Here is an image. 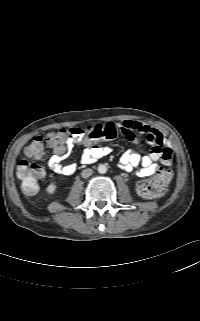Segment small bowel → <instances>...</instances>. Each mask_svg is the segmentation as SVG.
Masks as SVG:
<instances>
[{
	"instance_id": "obj_1",
	"label": "small bowel",
	"mask_w": 200,
	"mask_h": 321,
	"mask_svg": "<svg viewBox=\"0 0 200 321\" xmlns=\"http://www.w3.org/2000/svg\"><path fill=\"white\" fill-rule=\"evenodd\" d=\"M94 129H99L104 133H113L115 137L121 135L134 143H139L141 136L145 137L151 147L149 154L141 155L135 151H126L119 160L124 170L127 172L135 170L139 177H149L157 173L159 169L157 162L160 160L163 162L167 152H172L170 142L163 133L138 121L124 120L122 122L97 123L89 126L87 131ZM70 130L72 134L68 139L65 150L53 149L54 154L48 160V167L53 172L67 176L74 174L77 169L76 164H63V158L73 144L81 142L86 146L82 154V161L85 163L93 162L109 153L107 148L101 147L98 142L90 139L88 134L80 133V128H71Z\"/></svg>"
}]
</instances>
